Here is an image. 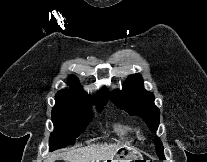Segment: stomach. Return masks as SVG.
<instances>
[{
  "label": "stomach",
  "mask_w": 207,
  "mask_h": 162,
  "mask_svg": "<svg viewBox=\"0 0 207 162\" xmlns=\"http://www.w3.org/2000/svg\"><path fill=\"white\" fill-rule=\"evenodd\" d=\"M104 162H144V159L137 150L128 146H122L117 150L112 159L105 160Z\"/></svg>",
  "instance_id": "0dacf381"
}]
</instances>
